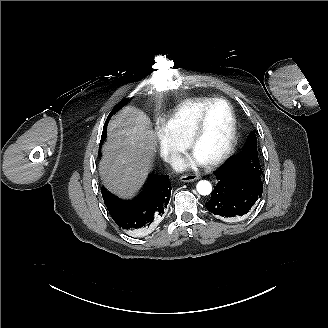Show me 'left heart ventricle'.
I'll return each instance as SVG.
<instances>
[{
    "instance_id": "left-heart-ventricle-1",
    "label": "left heart ventricle",
    "mask_w": 328,
    "mask_h": 328,
    "mask_svg": "<svg viewBox=\"0 0 328 328\" xmlns=\"http://www.w3.org/2000/svg\"><path fill=\"white\" fill-rule=\"evenodd\" d=\"M231 132V115L225 103H217L208 112L204 128L193 151L206 161L218 156L227 146Z\"/></svg>"
}]
</instances>
